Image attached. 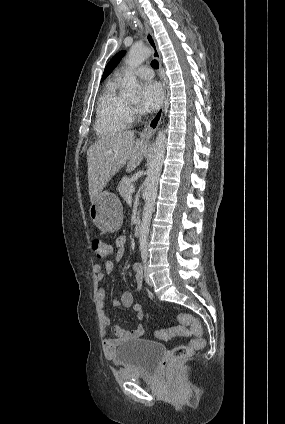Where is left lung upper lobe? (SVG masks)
Instances as JSON below:
<instances>
[{
  "label": "left lung upper lobe",
  "mask_w": 285,
  "mask_h": 424,
  "mask_svg": "<svg viewBox=\"0 0 285 424\" xmlns=\"http://www.w3.org/2000/svg\"><path fill=\"white\" fill-rule=\"evenodd\" d=\"M125 55V51L118 52L107 64L102 76V81L113 71V69L118 65L122 57Z\"/></svg>",
  "instance_id": "5c2ea615"
}]
</instances>
